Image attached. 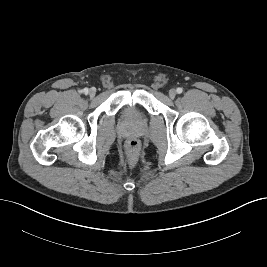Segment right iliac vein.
Segmentation results:
<instances>
[{"label":"right iliac vein","instance_id":"obj_1","mask_svg":"<svg viewBox=\"0 0 267 267\" xmlns=\"http://www.w3.org/2000/svg\"><path fill=\"white\" fill-rule=\"evenodd\" d=\"M95 94H96V90H95L94 88H91V89L89 90V95H90V97H94Z\"/></svg>","mask_w":267,"mask_h":267}]
</instances>
